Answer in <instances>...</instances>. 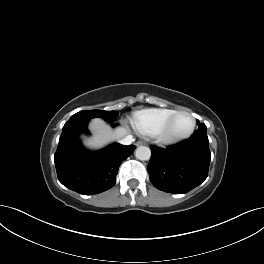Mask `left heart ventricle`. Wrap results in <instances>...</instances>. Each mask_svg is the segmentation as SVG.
Listing matches in <instances>:
<instances>
[{"label":"left heart ventricle","mask_w":264,"mask_h":264,"mask_svg":"<svg viewBox=\"0 0 264 264\" xmlns=\"http://www.w3.org/2000/svg\"><path fill=\"white\" fill-rule=\"evenodd\" d=\"M191 127V119L186 114L178 115L172 122L170 134L177 135L185 133Z\"/></svg>","instance_id":"1"}]
</instances>
